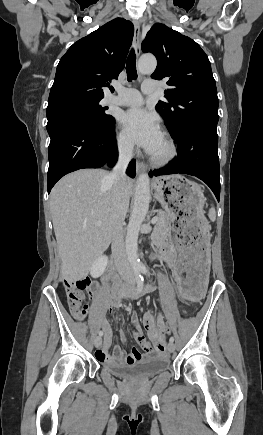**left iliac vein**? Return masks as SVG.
<instances>
[{"mask_svg":"<svg viewBox=\"0 0 263 435\" xmlns=\"http://www.w3.org/2000/svg\"><path fill=\"white\" fill-rule=\"evenodd\" d=\"M167 349H168L169 352H174V350H175V344L170 342L168 344V346H167Z\"/></svg>","mask_w":263,"mask_h":435,"instance_id":"1","label":"left iliac vein"}]
</instances>
